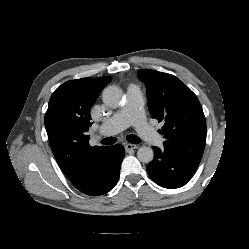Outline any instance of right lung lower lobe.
Listing matches in <instances>:
<instances>
[{
	"label": "right lung lower lobe",
	"mask_w": 249,
	"mask_h": 249,
	"mask_svg": "<svg viewBox=\"0 0 249 249\" xmlns=\"http://www.w3.org/2000/svg\"><path fill=\"white\" fill-rule=\"evenodd\" d=\"M125 150L122 145L109 146L104 158L99 159L84 174L83 182L76 186L81 192L99 196L109 192L118 182Z\"/></svg>",
	"instance_id": "right-lung-lower-lobe-1"
}]
</instances>
